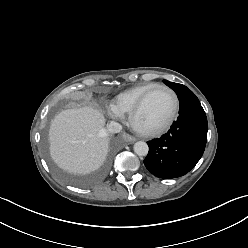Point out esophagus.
<instances>
[{
    "label": "esophagus",
    "mask_w": 248,
    "mask_h": 248,
    "mask_svg": "<svg viewBox=\"0 0 248 248\" xmlns=\"http://www.w3.org/2000/svg\"><path fill=\"white\" fill-rule=\"evenodd\" d=\"M124 137H125V140H126L128 143H130V144H132V143H134V142L136 141V138L133 137V136H131V135H125Z\"/></svg>",
    "instance_id": "obj_1"
}]
</instances>
